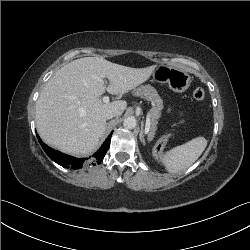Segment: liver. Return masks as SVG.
<instances>
[{
    "mask_svg": "<svg viewBox=\"0 0 250 250\" xmlns=\"http://www.w3.org/2000/svg\"><path fill=\"white\" fill-rule=\"evenodd\" d=\"M157 66L131 68L102 57H84L61 67L46 83L36 102V125L40 137L60 151L80 156L91 153L106 128V114L120 111L127 102L104 103L107 90L123 95L144 83ZM104 78L109 80L106 86Z\"/></svg>",
    "mask_w": 250,
    "mask_h": 250,
    "instance_id": "liver-1",
    "label": "liver"
}]
</instances>
